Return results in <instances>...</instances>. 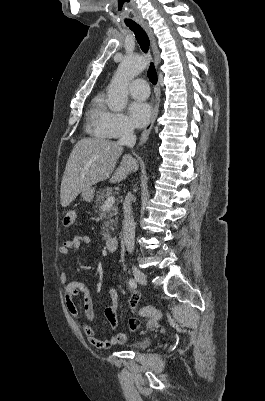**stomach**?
I'll return each mask as SVG.
<instances>
[{
    "mask_svg": "<svg viewBox=\"0 0 265 401\" xmlns=\"http://www.w3.org/2000/svg\"><path fill=\"white\" fill-rule=\"evenodd\" d=\"M95 194V188L93 186H88V188H84L81 190V196H83V201H87V203H91L93 201Z\"/></svg>",
    "mask_w": 265,
    "mask_h": 401,
    "instance_id": "1",
    "label": "stomach"
}]
</instances>
